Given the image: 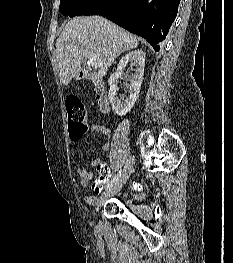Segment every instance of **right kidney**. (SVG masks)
I'll list each match as a JSON object with an SVG mask.
<instances>
[{
	"mask_svg": "<svg viewBox=\"0 0 233 263\" xmlns=\"http://www.w3.org/2000/svg\"><path fill=\"white\" fill-rule=\"evenodd\" d=\"M130 64V69L134 73L128 77L130 81L129 85V96L118 97L116 94L118 79L123 73V69ZM145 66V53L142 50H134L127 53L124 57L121 58L120 62L117 65L115 73L111 75L108 82L110 85V90L108 93V98L111 103L112 109L119 116L126 115L134 106L138 95L140 92V87L143 81Z\"/></svg>",
	"mask_w": 233,
	"mask_h": 263,
	"instance_id": "ca27d5eb",
	"label": "right kidney"
}]
</instances>
